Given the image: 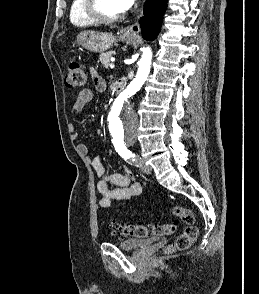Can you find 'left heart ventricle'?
Listing matches in <instances>:
<instances>
[{
	"instance_id": "b2bd125f",
	"label": "left heart ventricle",
	"mask_w": 259,
	"mask_h": 294,
	"mask_svg": "<svg viewBox=\"0 0 259 294\" xmlns=\"http://www.w3.org/2000/svg\"><path fill=\"white\" fill-rule=\"evenodd\" d=\"M99 10L107 16H116L123 12L119 0H98Z\"/></svg>"
}]
</instances>
